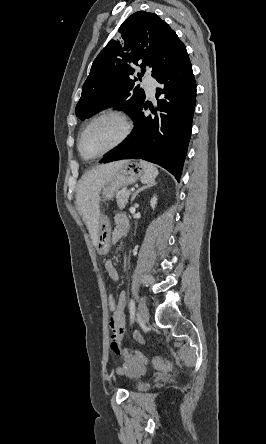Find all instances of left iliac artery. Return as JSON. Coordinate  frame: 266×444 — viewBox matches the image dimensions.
I'll return each mask as SVG.
<instances>
[{
	"label": "left iliac artery",
	"instance_id": "1",
	"mask_svg": "<svg viewBox=\"0 0 266 444\" xmlns=\"http://www.w3.org/2000/svg\"><path fill=\"white\" fill-rule=\"evenodd\" d=\"M129 309H130V320L132 323L135 317V301L133 299H131L130 301Z\"/></svg>",
	"mask_w": 266,
	"mask_h": 444
}]
</instances>
